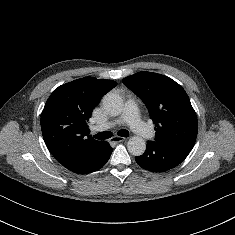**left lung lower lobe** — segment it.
Instances as JSON below:
<instances>
[{"instance_id":"obj_1","label":"left lung lower lobe","mask_w":235,"mask_h":235,"mask_svg":"<svg viewBox=\"0 0 235 235\" xmlns=\"http://www.w3.org/2000/svg\"><path fill=\"white\" fill-rule=\"evenodd\" d=\"M189 152L182 148L148 141L144 154L135 157V160L146 170L164 172L179 165Z\"/></svg>"}]
</instances>
